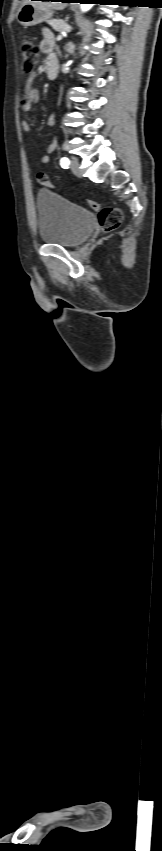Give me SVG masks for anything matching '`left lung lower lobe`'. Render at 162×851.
Wrapping results in <instances>:
<instances>
[{"mask_svg": "<svg viewBox=\"0 0 162 851\" xmlns=\"http://www.w3.org/2000/svg\"><path fill=\"white\" fill-rule=\"evenodd\" d=\"M81 3H95V4H103L105 2H109V0H80ZM62 2H71L70 0H62Z\"/></svg>", "mask_w": 162, "mask_h": 851, "instance_id": "0a47b994", "label": "left lung lower lobe"}]
</instances>
